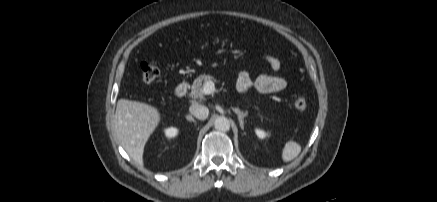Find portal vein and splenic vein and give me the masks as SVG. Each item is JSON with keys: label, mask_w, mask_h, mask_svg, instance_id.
<instances>
[{"label": "portal vein and splenic vein", "mask_w": 437, "mask_h": 202, "mask_svg": "<svg viewBox=\"0 0 437 202\" xmlns=\"http://www.w3.org/2000/svg\"><path fill=\"white\" fill-rule=\"evenodd\" d=\"M214 91H216V89H215V85L212 81H208L204 84V86H203V93L204 94L209 95V94L213 93Z\"/></svg>", "instance_id": "portal-vein-and-splenic-vein-1"}]
</instances>
